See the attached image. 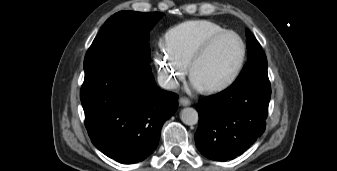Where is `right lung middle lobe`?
Listing matches in <instances>:
<instances>
[{
    "label": "right lung middle lobe",
    "mask_w": 337,
    "mask_h": 171,
    "mask_svg": "<svg viewBox=\"0 0 337 171\" xmlns=\"http://www.w3.org/2000/svg\"><path fill=\"white\" fill-rule=\"evenodd\" d=\"M163 15L160 12L135 11H120L112 15L88 49L84 69L110 58L149 64V32Z\"/></svg>",
    "instance_id": "right-lung-middle-lobe-1"
}]
</instances>
